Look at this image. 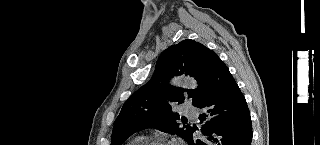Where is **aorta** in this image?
Instances as JSON below:
<instances>
[{"mask_svg": "<svg viewBox=\"0 0 320 145\" xmlns=\"http://www.w3.org/2000/svg\"><path fill=\"white\" fill-rule=\"evenodd\" d=\"M172 83L176 86L195 88L197 85L195 80L190 77H177L173 79Z\"/></svg>", "mask_w": 320, "mask_h": 145, "instance_id": "762f6f07", "label": "aorta"}]
</instances>
